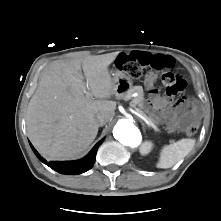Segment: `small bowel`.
Segmentation results:
<instances>
[{
	"instance_id": "small-bowel-1",
	"label": "small bowel",
	"mask_w": 221,
	"mask_h": 221,
	"mask_svg": "<svg viewBox=\"0 0 221 221\" xmlns=\"http://www.w3.org/2000/svg\"><path fill=\"white\" fill-rule=\"evenodd\" d=\"M138 53H147L149 55H154L152 53L148 52H140V51H134L130 53H125L129 55L132 59L137 58ZM153 83L154 78H148L146 80L147 87L151 90V105L152 107L158 112L159 117L166 122L168 129L172 132L176 131L178 127L180 126V123H182L185 120L192 119L196 114L197 111L194 109L186 111L180 118H179V104H175L172 100L171 96H163L157 94L153 90Z\"/></svg>"
}]
</instances>
